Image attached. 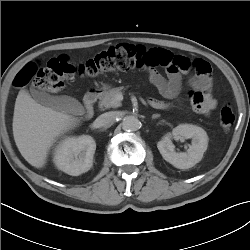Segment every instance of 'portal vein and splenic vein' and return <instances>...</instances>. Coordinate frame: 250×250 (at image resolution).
Segmentation results:
<instances>
[{
	"mask_svg": "<svg viewBox=\"0 0 250 250\" xmlns=\"http://www.w3.org/2000/svg\"><path fill=\"white\" fill-rule=\"evenodd\" d=\"M115 99H116L117 102L122 101V100H123L122 94L117 95V96L115 97Z\"/></svg>",
	"mask_w": 250,
	"mask_h": 250,
	"instance_id": "1",
	"label": "portal vein and splenic vein"
}]
</instances>
